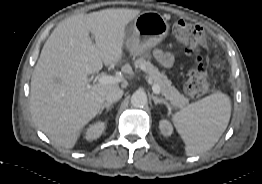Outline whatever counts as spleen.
<instances>
[{"mask_svg":"<svg viewBox=\"0 0 262 184\" xmlns=\"http://www.w3.org/2000/svg\"><path fill=\"white\" fill-rule=\"evenodd\" d=\"M231 115L229 97L211 94L172 115L177 132L185 143L188 156L210 150L228 126Z\"/></svg>","mask_w":262,"mask_h":184,"instance_id":"spleen-1","label":"spleen"}]
</instances>
